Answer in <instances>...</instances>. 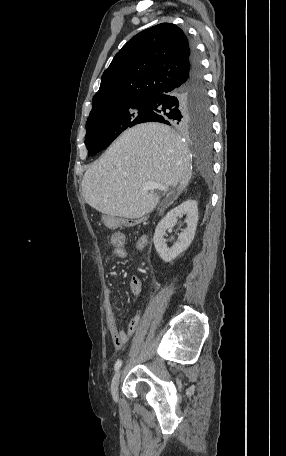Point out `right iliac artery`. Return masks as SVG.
<instances>
[{"mask_svg": "<svg viewBox=\"0 0 286 456\" xmlns=\"http://www.w3.org/2000/svg\"><path fill=\"white\" fill-rule=\"evenodd\" d=\"M122 365V361L121 360H117V362L115 363V366H114V369L115 371H117Z\"/></svg>", "mask_w": 286, "mask_h": 456, "instance_id": "right-iliac-artery-1", "label": "right iliac artery"}]
</instances>
